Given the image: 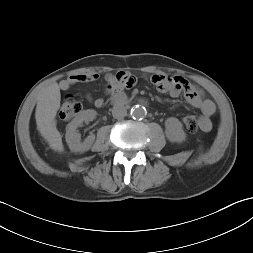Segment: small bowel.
<instances>
[{
	"mask_svg": "<svg viewBox=\"0 0 253 253\" xmlns=\"http://www.w3.org/2000/svg\"><path fill=\"white\" fill-rule=\"evenodd\" d=\"M97 73L74 74L67 79L61 81L60 88L64 91L69 90L79 83H93L99 80ZM109 91L119 90L122 87H132L137 78L129 72H118L116 74H107L104 77ZM151 82L159 92L166 93L171 97H178L183 94L186 103L197 108L202 112L201 130L210 131L212 122L210 117L215 113L214 103L207 99L201 90L192 85L181 76H169L166 74H154L151 76ZM87 100L92 102L96 107L100 108L104 105L103 98H93L90 94L86 96Z\"/></svg>",
	"mask_w": 253,
	"mask_h": 253,
	"instance_id": "c3829d8e",
	"label": "small bowel"
}]
</instances>
